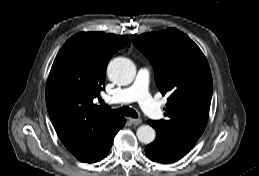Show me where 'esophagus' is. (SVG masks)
<instances>
[{
    "label": "esophagus",
    "mask_w": 259,
    "mask_h": 176,
    "mask_svg": "<svg viewBox=\"0 0 259 176\" xmlns=\"http://www.w3.org/2000/svg\"><path fill=\"white\" fill-rule=\"evenodd\" d=\"M128 120L133 125H140L142 123L140 118H129Z\"/></svg>",
    "instance_id": "esophagus-1"
}]
</instances>
